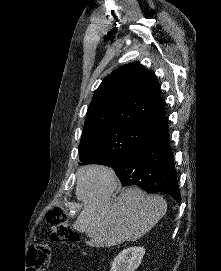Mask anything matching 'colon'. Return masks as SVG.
Masks as SVG:
<instances>
[{"label": "colon", "instance_id": "colon-1", "mask_svg": "<svg viewBox=\"0 0 221 271\" xmlns=\"http://www.w3.org/2000/svg\"><path fill=\"white\" fill-rule=\"evenodd\" d=\"M46 219L49 224V237L54 242L75 243L79 233L68 224L66 211L58 206L47 211ZM51 250L45 240L38 239L30 246L27 253V268L29 271H48L51 263Z\"/></svg>", "mask_w": 221, "mask_h": 271}]
</instances>
